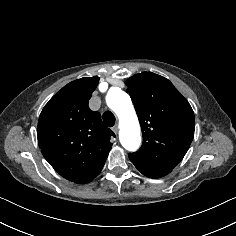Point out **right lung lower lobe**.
<instances>
[{"instance_id":"obj_1","label":"right lung lower lobe","mask_w":236,"mask_h":236,"mask_svg":"<svg viewBox=\"0 0 236 236\" xmlns=\"http://www.w3.org/2000/svg\"><path fill=\"white\" fill-rule=\"evenodd\" d=\"M95 177H96V176H95ZM95 177L90 178V179H87V180H84V181L76 182V183H81V184L88 183V182H90L91 180H93Z\"/></svg>"}]
</instances>
